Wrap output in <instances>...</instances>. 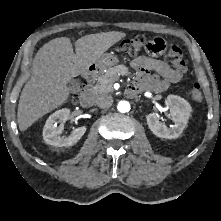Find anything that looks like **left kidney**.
I'll list each match as a JSON object with an SVG mask.
<instances>
[{"label": "left kidney", "mask_w": 221, "mask_h": 221, "mask_svg": "<svg viewBox=\"0 0 221 221\" xmlns=\"http://www.w3.org/2000/svg\"><path fill=\"white\" fill-rule=\"evenodd\" d=\"M167 101L170 106L171 119L175 123L172 127L168 128L165 124H162L159 121V116L155 113L148 114L146 120L149 129L157 137L176 139L185 129L192 109L185 99L177 95H169Z\"/></svg>", "instance_id": "left-kidney-1"}]
</instances>
